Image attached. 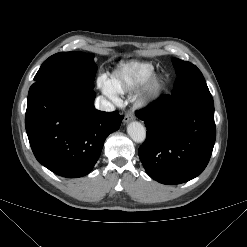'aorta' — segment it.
Returning a JSON list of instances; mask_svg holds the SVG:
<instances>
[{
	"mask_svg": "<svg viewBox=\"0 0 247 247\" xmlns=\"http://www.w3.org/2000/svg\"><path fill=\"white\" fill-rule=\"evenodd\" d=\"M127 133L136 143H142L146 138L145 127L137 121H133L128 124Z\"/></svg>",
	"mask_w": 247,
	"mask_h": 247,
	"instance_id": "obj_1",
	"label": "aorta"
}]
</instances>
